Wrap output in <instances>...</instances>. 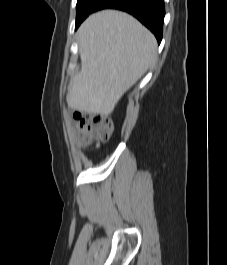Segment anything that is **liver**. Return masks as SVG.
<instances>
[{"mask_svg": "<svg viewBox=\"0 0 227 265\" xmlns=\"http://www.w3.org/2000/svg\"><path fill=\"white\" fill-rule=\"evenodd\" d=\"M78 43L81 70L69 84L67 104L91 114H110L156 58L154 35L115 10L89 16L78 30Z\"/></svg>", "mask_w": 227, "mask_h": 265, "instance_id": "6515ba94", "label": "liver"}]
</instances>
